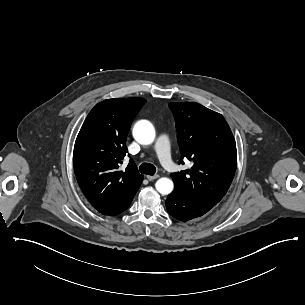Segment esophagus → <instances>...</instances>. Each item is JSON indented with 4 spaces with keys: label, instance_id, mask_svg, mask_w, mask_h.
Instances as JSON below:
<instances>
[{
    "label": "esophagus",
    "instance_id": "esophagus-1",
    "mask_svg": "<svg viewBox=\"0 0 305 305\" xmlns=\"http://www.w3.org/2000/svg\"><path fill=\"white\" fill-rule=\"evenodd\" d=\"M160 177V175H148L147 176V179L149 180V181H152V180H154V179H157V178H159Z\"/></svg>",
    "mask_w": 305,
    "mask_h": 305
}]
</instances>
